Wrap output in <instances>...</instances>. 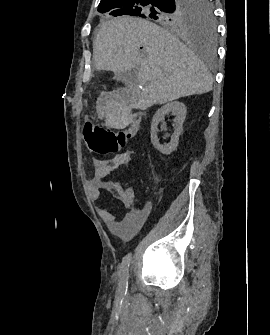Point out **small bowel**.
Returning <instances> with one entry per match:
<instances>
[{
    "label": "small bowel",
    "instance_id": "1",
    "mask_svg": "<svg viewBox=\"0 0 270 335\" xmlns=\"http://www.w3.org/2000/svg\"><path fill=\"white\" fill-rule=\"evenodd\" d=\"M132 159L131 153L126 151L108 160L94 159L93 173L90 178L91 196L100 197L101 190L112 192L125 208L121 218L106 208H97L98 216L108 228L117 236L128 239L134 236L143 226L145 215L135 208L134 191L131 187H122L113 181H105L106 176L115 168L128 164Z\"/></svg>",
    "mask_w": 270,
    "mask_h": 335
}]
</instances>
